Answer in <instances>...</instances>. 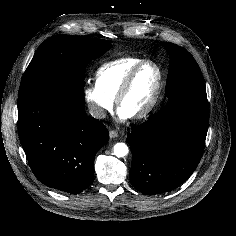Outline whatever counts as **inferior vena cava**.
Listing matches in <instances>:
<instances>
[{
	"label": "inferior vena cava",
	"mask_w": 236,
	"mask_h": 236,
	"mask_svg": "<svg viewBox=\"0 0 236 236\" xmlns=\"http://www.w3.org/2000/svg\"><path fill=\"white\" fill-rule=\"evenodd\" d=\"M88 110L92 117L97 119H102L106 117V113L104 109H102L99 105L92 102L88 104Z\"/></svg>",
	"instance_id": "obj_1"
}]
</instances>
